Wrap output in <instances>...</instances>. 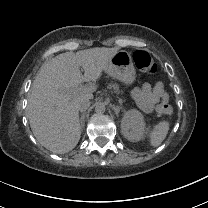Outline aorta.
Instances as JSON below:
<instances>
[{
  "instance_id": "1",
  "label": "aorta",
  "mask_w": 208,
  "mask_h": 208,
  "mask_svg": "<svg viewBox=\"0 0 208 208\" xmlns=\"http://www.w3.org/2000/svg\"><path fill=\"white\" fill-rule=\"evenodd\" d=\"M95 112L98 114H102L105 112V105L104 103H97L95 106Z\"/></svg>"
}]
</instances>
